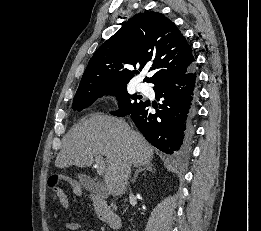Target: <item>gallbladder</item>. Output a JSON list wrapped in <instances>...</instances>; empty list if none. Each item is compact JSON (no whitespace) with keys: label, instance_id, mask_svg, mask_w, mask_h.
I'll return each instance as SVG.
<instances>
[{"label":"gallbladder","instance_id":"bac80fb5","mask_svg":"<svg viewBox=\"0 0 261 231\" xmlns=\"http://www.w3.org/2000/svg\"><path fill=\"white\" fill-rule=\"evenodd\" d=\"M78 178H79V180L81 181V183L83 184V186L85 188L90 189V190H92V191H94L96 193H101L102 192L100 186H98L93 181H91L89 179V177H87L86 175L79 174Z\"/></svg>","mask_w":261,"mask_h":231}]
</instances>
